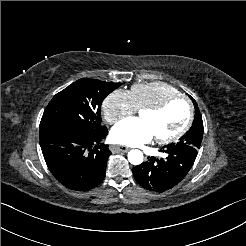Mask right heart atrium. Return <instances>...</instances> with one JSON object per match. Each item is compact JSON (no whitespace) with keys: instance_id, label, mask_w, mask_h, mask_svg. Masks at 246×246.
<instances>
[{"instance_id":"obj_1","label":"right heart atrium","mask_w":246,"mask_h":246,"mask_svg":"<svg viewBox=\"0 0 246 246\" xmlns=\"http://www.w3.org/2000/svg\"><path fill=\"white\" fill-rule=\"evenodd\" d=\"M105 120L114 124L134 114L135 107L130 92L115 89L107 95L102 104Z\"/></svg>"}]
</instances>
